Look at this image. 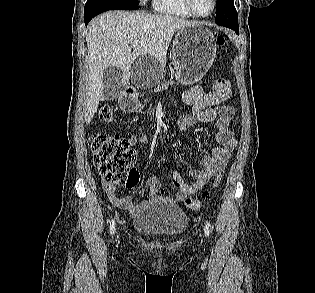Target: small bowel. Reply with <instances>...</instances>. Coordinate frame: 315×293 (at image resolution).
Masks as SVG:
<instances>
[{
  "label": "small bowel",
  "mask_w": 315,
  "mask_h": 293,
  "mask_svg": "<svg viewBox=\"0 0 315 293\" xmlns=\"http://www.w3.org/2000/svg\"><path fill=\"white\" fill-rule=\"evenodd\" d=\"M230 96L231 94L212 90L204 93L199 85H194L182 93L183 101L192 106V114H184L180 117L178 125L181 134L192 128L197 122L202 125L214 124L211 135L216 145L201 149L203 168L189 170V175L193 179L192 183H186L178 172H174L172 183L177 191L174 195L168 196L165 194V190L161 189L159 176L153 174L146 183L148 199L138 204H135L130 196H119L114 185L103 183L105 193L112 205L128 210L131 215H136L154 202L177 204L182 202L188 195L201 190L212 176L222 172L237 145L235 134L230 129V123L235 114L234 109L231 106L222 104ZM128 142L130 145L147 144L148 138L145 135H132ZM160 189L161 193L157 195Z\"/></svg>",
  "instance_id": "1"
}]
</instances>
